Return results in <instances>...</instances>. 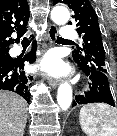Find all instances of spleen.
I'll return each mask as SVG.
<instances>
[{
    "label": "spleen",
    "instance_id": "3e777b00",
    "mask_svg": "<svg viewBox=\"0 0 117 136\" xmlns=\"http://www.w3.org/2000/svg\"><path fill=\"white\" fill-rule=\"evenodd\" d=\"M79 123L87 136H117V113L107 104L84 105Z\"/></svg>",
    "mask_w": 117,
    "mask_h": 136
}]
</instances>
